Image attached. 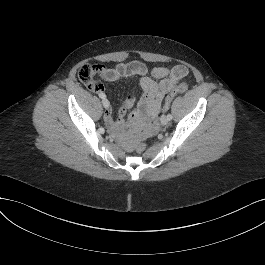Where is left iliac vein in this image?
I'll use <instances>...</instances> for the list:
<instances>
[{
  "instance_id": "4c4485c4",
  "label": "left iliac vein",
  "mask_w": 265,
  "mask_h": 265,
  "mask_svg": "<svg viewBox=\"0 0 265 265\" xmlns=\"http://www.w3.org/2000/svg\"><path fill=\"white\" fill-rule=\"evenodd\" d=\"M168 118H167V116H165V115H163L162 117H161V119H160V122H161V124L162 125H167L168 124Z\"/></svg>"
}]
</instances>
